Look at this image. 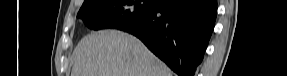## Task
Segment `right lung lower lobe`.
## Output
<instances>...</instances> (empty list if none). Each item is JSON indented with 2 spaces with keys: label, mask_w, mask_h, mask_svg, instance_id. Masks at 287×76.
<instances>
[{
  "label": "right lung lower lobe",
  "mask_w": 287,
  "mask_h": 76,
  "mask_svg": "<svg viewBox=\"0 0 287 76\" xmlns=\"http://www.w3.org/2000/svg\"><path fill=\"white\" fill-rule=\"evenodd\" d=\"M216 0H156L143 21L123 28L179 76H195L211 37Z\"/></svg>",
  "instance_id": "1"
}]
</instances>
